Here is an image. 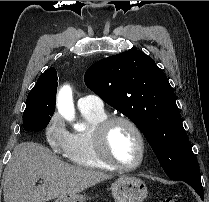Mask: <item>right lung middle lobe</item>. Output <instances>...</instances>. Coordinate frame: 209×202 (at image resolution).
<instances>
[{"label":"right lung middle lobe","instance_id":"right-lung-middle-lobe-1","mask_svg":"<svg viewBox=\"0 0 209 202\" xmlns=\"http://www.w3.org/2000/svg\"><path fill=\"white\" fill-rule=\"evenodd\" d=\"M55 94L56 87L52 83H36L27 96L23 113L25 131H41L48 125L55 111Z\"/></svg>","mask_w":209,"mask_h":202}]
</instances>
